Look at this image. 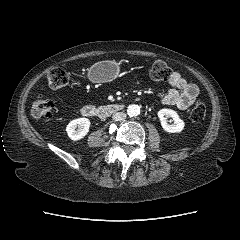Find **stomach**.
Segmentation results:
<instances>
[{
    "instance_id": "1",
    "label": "stomach",
    "mask_w": 240,
    "mask_h": 240,
    "mask_svg": "<svg viewBox=\"0 0 240 240\" xmlns=\"http://www.w3.org/2000/svg\"><path fill=\"white\" fill-rule=\"evenodd\" d=\"M118 75V65L112 61H102L89 69V77L92 81L103 83L114 80Z\"/></svg>"
}]
</instances>
